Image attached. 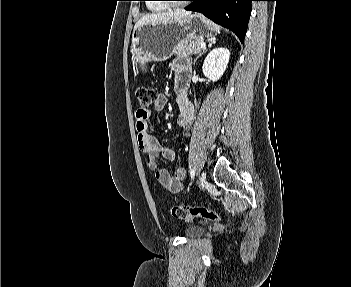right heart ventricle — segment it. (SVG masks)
I'll list each match as a JSON object with an SVG mask.
<instances>
[{
    "instance_id": "right-heart-ventricle-1",
    "label": "right heart ventricle",
    "mask_w": 351,
    "mask_h": 287,
    "mask_svg": "<svg viewBox=\"0 0 351 287\" xmlns=\"http://www.w3.org/2000/svg\"><path fill=\"white\" fill-rule=\"evenodd\" d=\"M148 9L153 11V12H159L165 9V7L161 4L157 3H148Z\"/></svg>"
}]
</instances>
